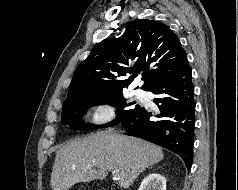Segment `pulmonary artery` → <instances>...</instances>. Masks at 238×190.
<instances>
[{"instance_id": "pulmonary-artery-1", "label": "pulmonary artery", "mask_w": 238, "mask_h": 190, "mask_svg": "<svg viewBox=\"0 0 238 190\" xmlns=\"http://www.w3.org/2000/svg\"><path fill=\"white\" fill-rule=\"evenodd\" d=\"M134 94L136 95V97H138V98H140V97H142L143 96V92L142 91H140V90H136L135 92H134Z\"/></svg>"}]
</instances>
